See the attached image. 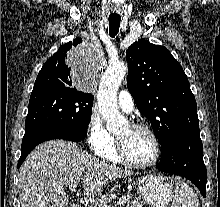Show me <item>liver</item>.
I'll list each match as a JSON object with an SVG mask.
<instances>
[{"label": "liver", "mask_w": 220, "mask_h": 207, "mask_svg": "<svg viewBox=\"0 0 220 207\" xmlns=\"http://www.w3.org/2000/svg\"><path fill=\"white\" fill-rule=\"evenodd\" d=\"M135 174L100 161L76 143L52 140L37 146L18 175L22 207H67L64 187L81 182L85 196H96L112 180Z\"/></svg>", "instance_id": "6515ba94"}]
</instances>
